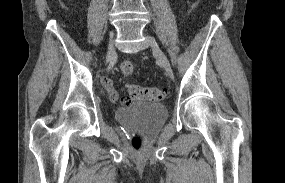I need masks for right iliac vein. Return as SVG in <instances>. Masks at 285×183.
Listing matches in <instances>:
<instances>
[{"label":"right iliac vein","instance_id":"right-iliac-vein-1","mask_svg":"<svg viewBox=\"0 0 285 183\" xmlns=\"http://www.w3.org/2000/svg\"><path fill=\"white\" fill-rule=\"evenodd\" d=\"M114 54H115V49H114L113 36H112L107 50V59L111 58Z\"/></svg>","mask_w":285,"mask_h":183}]
</instances>
